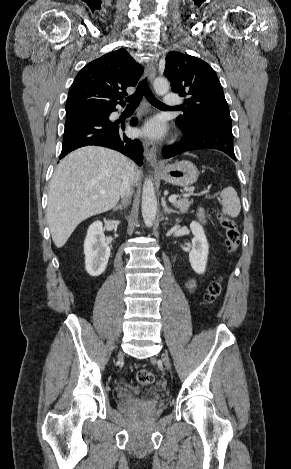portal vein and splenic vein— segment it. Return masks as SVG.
Here are the masks:
<instances>
[{"label":"portal vein and splenic vein","mask_w":291,"mask_h":469,"mask_svg":"<svg viewBox=\"0 0 291 469\" xmlns=\"http://www.w3.org/2000/svg\"><path fill=\"white\" fill-rule=\"evenodd\" d=\"M169 202L171 203H174L176 200H177V196L176 195H171L169 198H168Z\"/></svg>","instance_id":"obj_1"}]
</instances>
